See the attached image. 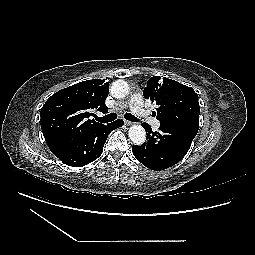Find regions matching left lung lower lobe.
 Segmentation results:
<instances>
[{"mask_svg":"<svg viewBox=\"0 0 255 255\" xmlns=\"http://www.w3.org/2000/svg\"><path fill=\"white\" fill-rule=\"evenodd\" d=\"M142 126L146 130L147 142L141 146L133 145L132 151L139 162L155 171L177 164L188 152L199 129L161 123L159 131L153 132L149 124Z\"/></svg>","mask_w":255,"mask_h":255,"instance_id":"left-lung-lower-lobe-1","label":"left lung lower lobe"}]
</instances>
